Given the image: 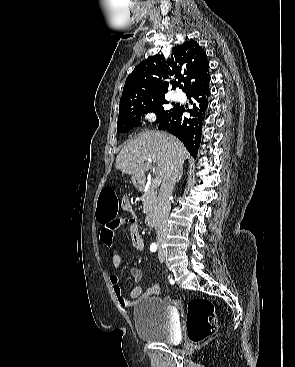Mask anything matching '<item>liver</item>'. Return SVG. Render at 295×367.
I'll use <instances>...</instances> for the list:
<instances>
[{"mask_svg":"<svg viewBox=\"0 0 295 367\" xmlns=\"http://www.w3.org/2000/svg\"><path fill=\"white\" fill-rule=\"evenodd\" d=\"M187 157L184 145L175 137L158 131L145 130L127 143L116 157V169L122 173L143 177L155 160V174L162 181L176 162Z\"/></svg>","mask_w":295,"mask_h":367,"instance_id":"6515ba94","label":"liver"}]
</instances>
